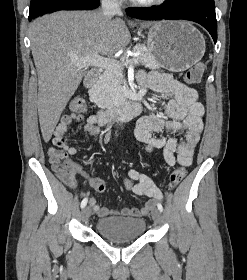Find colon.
<instances>
[{
    "mask_svg": "<svg viewBox=\"0 0 247 280\" xmlns=\"http://www.w3.org/2000/svg\"><path fill=\"white\" fill-rule=\"evenodd\" d=\"M205 70V64L203 62H198L193 65L185 74V80L189 84H198L203 76ZM71 111L76 115H82L86 111V102L83 98H75L70 103ZM48 155L50 163L53 167L55 173L61 179H70L73 174V163L68 160L67 153L60 147L49 146ZM145 154H153L151 144L145 145ZM187 174L185 167L176 168L170 175L169 187L174 189L177 187ZM120 183L126 189H130L133 186V181L129 176H122L120 178Z\"/></svg>",
    "mask_w": 247,
    "mask_h": 280,
    "instance_id": "1",
    "label": "colon"
}]
</instances>
